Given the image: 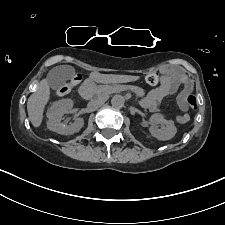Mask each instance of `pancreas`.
Returning a JSON list of instances; mask_svg holds the SVG:
<instances>
[{
	"instance_id": "pancreas-1",
	"label": "pancreas",
	"mask_w": 225,
	"mask_h": 225,
	"mask_svg": "<svg viewBox=\"0 0 225 225\" xmlns=\"http://www.w3.org/2000/svg\"><path fill=\"white\" fill-rule=\"evenodd\" d=\"M95 89L98 93H101L104 95L114 93V92H121L125 90H130L139 97H143L145 95L144 89L138 86H130V85H100V86H97Z\"/></svg>"
}]
</instances>
